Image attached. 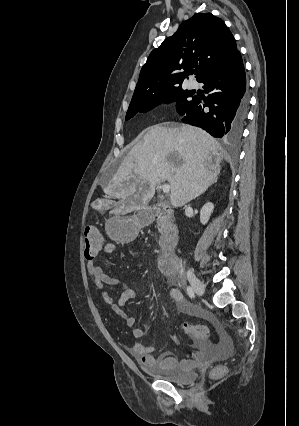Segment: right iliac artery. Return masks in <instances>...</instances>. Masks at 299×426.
I'll return each instance as SVG.
<instances>
[{
  "label": "right iliac artery",
  "mask_w": 299,
  "mask_h": 426,
  "mask_svg": "<svg viewBox=\"0 0 299 426\" xmlns=\"http://www.w3.org/2000/svg\"><path fill=\"white\" fill-rule=\"evenodd\" d=\"M187 294L190 298H194L195 296L194 290L190 286L187 287Z\"/></svg>",
  "instance_id": "obj_1"
}]
</instances>
